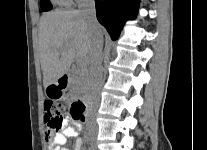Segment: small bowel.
Instances as JSON below:
<instances>
[{"instance_id":"obj_1","label":"small bowel","mask_w":207,"mask_h":150,"mask_svg":"<svg viewBox=\"0 0 207 150\" xmlns=\"http://www.w3.org/2000/svg\"><path fill=\"white\" fill-rule=\"evenodd\" d=\"M79 134V124L76 121L65 120L61 131L50 134L51 137V150H71L65 147L67 139L70 137H76ZM81 140L78 139L74 150H80Z\"/></svg>"}]
</instances>
